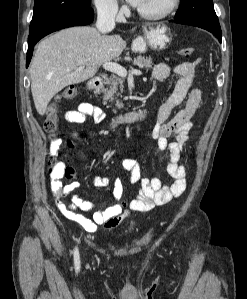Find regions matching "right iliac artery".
<instances>
[{
    "label": "right iliac artery",
    "instance_id": "82829eb1",
    "mask_svg": "<svg viewBox=\"0 0 247 299\" xmlns=\"http://www.w3.org/2000/svg\"><path fill=\"white\" fill-rule=\"evenodd\" d=\"M74 262H75L76 269H79L80 259H79V252L77 248L74 249Z\"/></svg>",
    "mask_w": 247,
    "mask_h": 299
}]
</instances>
